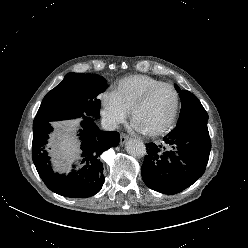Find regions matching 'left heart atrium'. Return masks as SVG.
<instances>
[{"mask_svg":"<svg viewBox=\"0 0 248 248\" xmlns=\"http://www.w3.org/2000/svg\"><path fill=\"white\" fill-rule=\"evenodd\" d=\"M133 128L137 131H142L138 126H136L135 124H133Z\"/></svg>","mask_w":248,"mask_h":248,"instance_id":"obj_1","label":"left heart atrium"}]
</instances>
